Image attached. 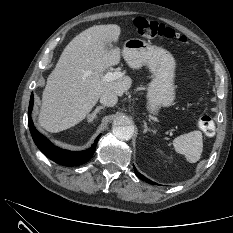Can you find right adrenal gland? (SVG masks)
Wrapping results in <instances>:
<instances>
[{
  "label": "right adrenal gland",
  "mask_w": 233,
  "mask_h": 233,
  "mask_svg": "<svg viewBox=\"0 0 233 233\" xmlns=\"http://www.w3.org/2000/svg\"><path fill=\"white\" fill-rule=\"evenodd\" d=\"M103 108H105V106H97L94 112L87 116L88 122H92L97 117V113Z\"/></svg>",
  "instance_id": "obj_1"
}]
</instances>
